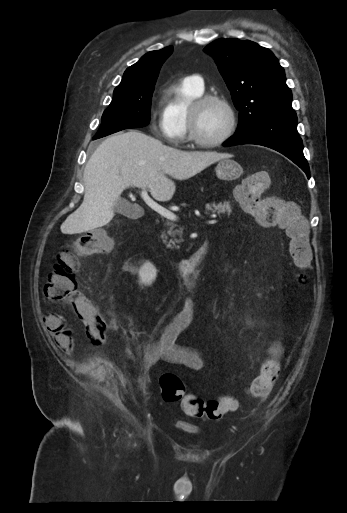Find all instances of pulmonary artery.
I'll list each match as a JSON object with an SVG mask.
<instances>
[{
	"instance_id": "1",
	"label": "pulmonary artery",
	"mask_w": 347,
	"mask_h": 513,
	"mask_svg": "<svg viewBox=\"0 0 347 513\" xmlns=\"http://www.w3.org/2000/svg\"><path fill=\"white\" fill-rule=\"evenodd\" d=\"M188 81H190L193 85H195L198 89L203 90L204 89V80L202 76L195 74L188 76L186 78Z\"/></svg>"
}]
</instances>
